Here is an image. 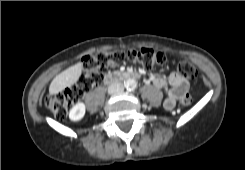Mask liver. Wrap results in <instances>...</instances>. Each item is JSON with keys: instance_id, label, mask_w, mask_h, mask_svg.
<instances>
[{"instance_id": "obj_1", "label": "liver", "mask_w": 245, "mask_h": 170, "mask_svg": "<svg viewBox=\"0 0 245 170\" xmlns=\"http://www.w3.org/2000/svg\"><path fill=\"white\" fill-rule=\"evenodd\" d=\"M82 73V63H77L60 74H58L51 82L49 86V93L51 95L58 94L65 88L75 84L80 78Z\"/></svg>"}]
</instances>
